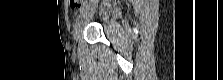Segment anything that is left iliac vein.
I'll list each match as a JSON object with an SVG mask.
<instances>
[{
	"label": "left iliac vein",
	"mask_w": 223,
	"mask_h": 80,
	"mask_svg": "<svg viewBox=\"0 0 223 80\" xmlns=\"http://www.w3.org/2000/svg\"><path fill=\"white\" fill-rule=\"evenodd\" d=\"M95 9H96L95 6L87 8L85 10V12L81 15V17L78 19V21H77V23L74 27V33H73L75 41L79 40V38H80V36L83 32L84 27L86 26V24L92 18L93 14L95 12Z\"/></svg>",
	"instance_id": "left-iliac-vein-1"
}]
</instances>
